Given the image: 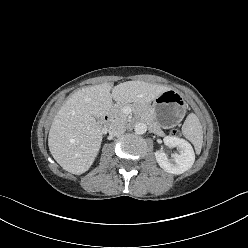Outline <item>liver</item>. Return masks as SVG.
<instances>
[{
	"instance_id": "6515ba94",
	"label": "liver",
	"mask_w": 248,
	"mask_h": 248,
	"mask_svg": "<svg viewBox=\"0 0 248 248\" xmlns=\"http://www.w3.org/2000/svg\"><path fill=\"white\" fill-rule=\"evenodd\" d=\"M167 90L162 85L127 81L115 87L112 83H102L74 92L54 116L50 127L48 146L53 158L72 174L85 173L102 142L101 126L95 118L109 112L112 99L119 104H144Z\"/></svg>"
}]
</instances>
